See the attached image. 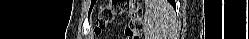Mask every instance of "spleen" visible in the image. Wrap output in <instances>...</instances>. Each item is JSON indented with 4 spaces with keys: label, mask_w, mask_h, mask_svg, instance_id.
Segmentation results:
<instances>
[{
    "label": "spleen",
    "mask_w": 249,
    "mask_h": 39,
    "mask_svg": "<svg viewBox=\"0 0 249 39\" xmlns=\"http://www.w3.org/2000/svg\"><path fill=\"white\" fill-rule=\"evenodd\" d=\"M171 6L167 0H147L143 29L146 39H169L171 36Z\"/></svg>",
    "instance_id": "3e777b00"
}]
</instances>
